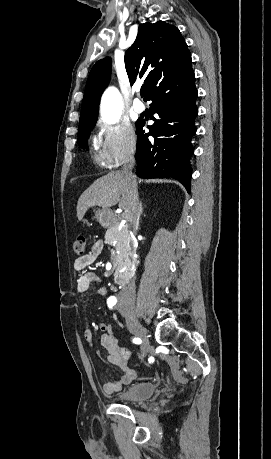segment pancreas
Here are the masks:
<instances>
[{"mask_svg":"<svg viewBox=\"0 0 271 459\" xmlns=\"http://www.w3.org/2000/svg\"><path fill=\"white\" fill-rule=\"evenodd\" d=\"M119 222L124 220V218H118ZM125 220H129V218H125ZM128 224H125L123 228L119 229V224H115L112 228H108L106 231V239L107 241H117L115 243L116 249H119L120 255L122 256H129L131 254V237L128 231Z\"/></svg>","mask_w":271,"mask_h":459,"instance_id":"cf45deb5","label":"pancreas"}]
</instances>
